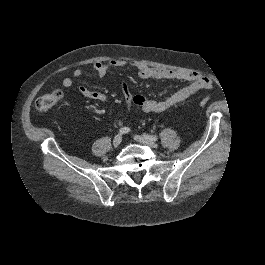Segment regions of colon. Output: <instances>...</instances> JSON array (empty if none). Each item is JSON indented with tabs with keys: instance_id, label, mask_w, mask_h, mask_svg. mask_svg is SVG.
<instances>
[{
	"instance_id": "5ec220e1",
	"label": "colon",
	"mask_w": 265,
	"mask_h": 265,
	"mask_svg": "<svg viewBox=\"0 0 265 265\" xmlns=\"http://www.w3.org/2000/svg\"><path fill=\"white\" fill-rule=\"evenodd\" d=\"M62 98H63V93L60 90H55L50 93L44 94L36 100V108L41 112L49 111L50 109L57 106L59 102L62 100ZM208 101H209L208 97L203 98L199 102V105L203 107L207 104Z\"/></svg>"
}]
</instances>
